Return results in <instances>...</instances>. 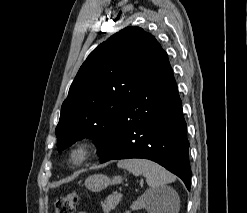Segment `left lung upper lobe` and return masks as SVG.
<instances>
[{"label":"left lung upper lobe","instance_id":"5c2ea615","mask_svg":"<svg viewBox=\"0 0 247 213\" xmlns=\"http://www.w3.org/2000/svg\"><path fill=\"white\" fill-rule=\"evenodd\" d=\"M166 58L154 36L139 27H126L100 44L80 67L62 104L58 151L87 137L96 140L101 156L125 102L136 95L146 71Z\"/></svg>","mask_w":247,"mask_h":213}]
</instances>
